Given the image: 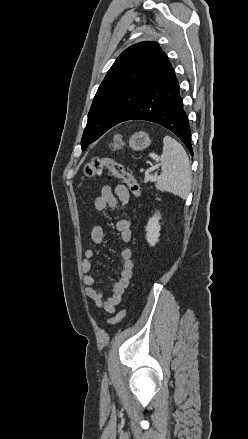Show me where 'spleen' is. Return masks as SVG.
Segmentation results:
<instances>
[{
  "label": "spleen",
  "instance_id": "spleen-1",
  "mask_svg": "<svg viewBox=\"0 0 248 439\" xmlns=\"http://www.w3.org/2000/svg\"><path fill=\"white\" fill-rule=\"evenodd\" d=\"M161 167L156 188L187 198L192 184L189 159L182 145L170 136L163 138Z\"/></svg>",
  "mask_w": 248,
  "mask_h": 439
}]
</instances>
